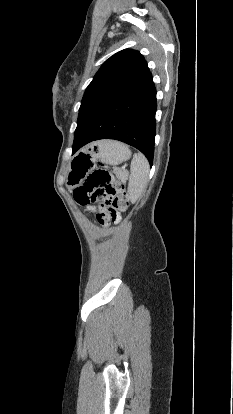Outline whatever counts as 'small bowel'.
<instances>
[{
  "label": "small bowel",
  "mask_w": 233,
  "mask_h": 414,
  "mask_svg": "<svg viewBox=\"0 0 233 414\" xmlns=\"http://www.w3.org/2000/svg\"><path fill=\"white\" fill-rule=\"evenodd\" d=\"M88 210L91 211V212H93V213H97V215L100 212V209H98V208H96L94 206H89L88 207Z\"/></svg>",
  "instance_id": "c3829d8e"
}]
</instances>
